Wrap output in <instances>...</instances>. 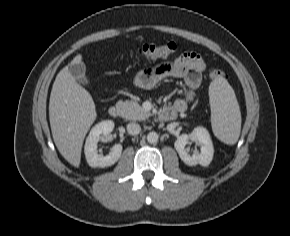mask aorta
Instances as JSON below:
<instances>
[{"label": "aorta", "mask_w": 290, "mask_h": 236, "mask_svg": "<svg viewBox=\"0 0 290 236\" xmlns=\"http://www.w3.org/2000/svg\"><path fill=\"white\" fill-rule=\"evenodd\" d=\"M158 138H159L158 134H157L156 132H154V131L149 132V133L147 134V141H148L150 144H155V143H157Z\"/></svg>", "instance_id": "aorta-1"}]
</instances>
